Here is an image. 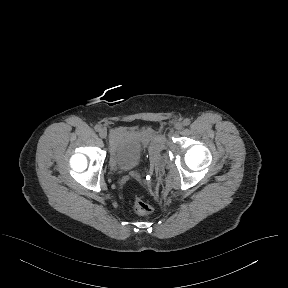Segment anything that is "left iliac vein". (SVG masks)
Instances as JSON below:
<instances>
[{"label":"left iliac vein","mask_w":288,"mask_h":288,"mask_svg":"<svg viewBox=\"0 0 288 288\" xmlns=\"http://www.w3.org/2000/svg\"><path fill=\"white\" fill-rule=\"evenodd\" d=\"M175 130L179 131L183 128V124L181 122H178L174 126Z\"/></svg>","instance_id":"4c4485c4"}]
</instances>
